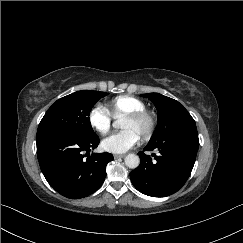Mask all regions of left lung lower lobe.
<instances>
[{"label":"left lung lower lobe","mask_w":243,"mask_h":243,"mask_svg":"<svg viewBox=\"0 0 243 243\" xmlns=\"http://www.w3.org/2000/svg\"><path fill=\"white\" fill-rule=\"evenodd\" d=\"M199 147L196 126L156 142H149L139 152L140 165L130 172L134 187L152 197H165L177 192L187 181L195 163ZM159 151L151 159L145 151Z\"/></svg>","instance_id":"1"}]
</instances>
